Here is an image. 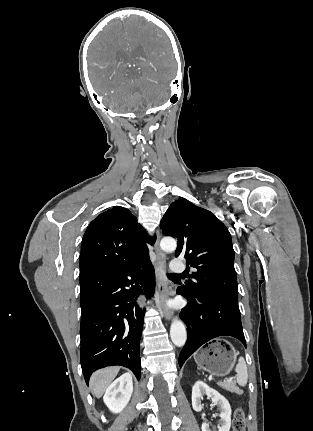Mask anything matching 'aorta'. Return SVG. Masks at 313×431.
I'll list each match as a JSON object with an SVG mask.
<instances>
[{"instance_id": "obj_1", "label": "aorta", "mask_w": 313, "mask_h": 431, "mask_svg": "<svg viewBox=\"0 0 313 431\" xmlns=\"http://www.w3.org/2000/svg\"><path fill=\"white\" fill-rule=\"evenodd\" d=\"M160 247L163 251L172 252L177 247V242L171 237H165L160 242ZM170 337L172 342L177 347H182L186 343L187 333L182 321L175 318L170 327Z\"/></svg>"}]
</instances>
